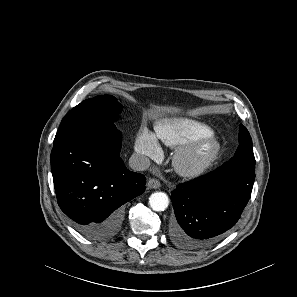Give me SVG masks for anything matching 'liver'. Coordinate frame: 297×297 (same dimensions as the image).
I'll return each mask as SVG.
<instances>
[{"label": "liver", "mask_w": 297, "mask_h": 297, "mask_svg": "<svg viewBox=\"0 0 297 297\" xmlns=\"http://www.w3.org/2000/svg\"><path fill=\"white\" fill-rule=\"evenodd\" d=\"M179 112V109L176 107H171V106H153L150 110L151 114L154 115H161L165 113H177Z\"/></svg>", "instance_id": "1"}]
</instances>
